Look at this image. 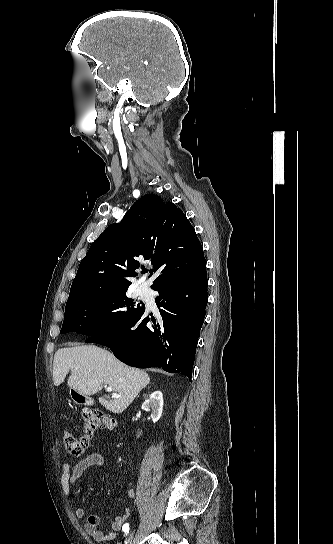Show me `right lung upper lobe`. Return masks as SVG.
Listing matches in <instances>:
<instances>
[{"instance_id":"1","label":"right lung upper lobe","mask_w":333,"mask_h":544,"mask_svg":"<svg viewBox=\"0 0 333 544\" xmlns=\"http://www.w3.org/2000/svg\"><path fill=\"white\" fill-rule=\"evenodd\" d=\"M150 261L154 289L167 280L190 276L206 261L195 230L183 212L155 194L137 200L120 223L93 242L81 261L68 301L100 292L127 290L136 270Z\"/></svg>"}]
</instances>
